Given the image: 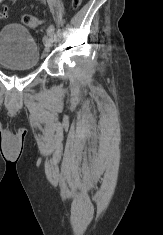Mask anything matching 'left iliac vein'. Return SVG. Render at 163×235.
<instances>
[{"mask_svg":"<svg viewBox=\"0 0 163 235\" xmlns=\"http://www.w3.org/2000/svg\"><path fill=\"white\" fill-rule=\"evenodd\" d=\"M53 41H54V40L51 38L50 35H48V34L44 35V37H43V42H44V44H45V46H46L44 55H46L47 52L49 51V49H50V47H51Z\"/></svg>","mask_w":163,"mask_h":235,"instance_id":"4c4485c4","label":"left iliac vein"}]
</instances>
